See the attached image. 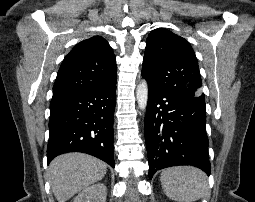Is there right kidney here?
I'll use <instances>...</instances> for the list:
<instances>
[{
  "mask_svg": "<svg viewBox=\"0 0 255 202\" xmlns=\"http://www.w3.org/2000/svg\"><path fill=\"white\" fill-rule=\"evenodd\" d=\"M107 187L98 183L83 189L73 202H106Z\"/></svg>",
  "mask_w": 255,
  "mask_h": 202,
  "instance_id": "obj_1",
  "label": "right kidney"
}]
</instances>
